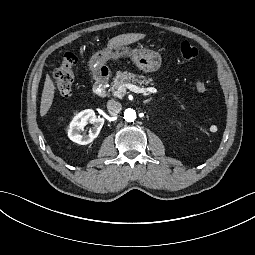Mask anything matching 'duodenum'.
Segmentation results:
<instances>
[{
	"label": "duodenum",
	"mask_w": 255,
	"mask_h": 255,
	"mask_svg": "<svg viewBox=\"0 0 255 255\" xmlns=\"http://www.w3.org/2000/svg\"><path fill=\"white\" fill-rule=\"evenodd\" d=\"M108 83V71L100 68L95 72L94 90L99 96H104Z\"/></svg>",
	"instance_id": "410a0bca"
}]
</instances>
